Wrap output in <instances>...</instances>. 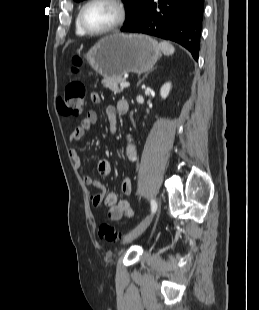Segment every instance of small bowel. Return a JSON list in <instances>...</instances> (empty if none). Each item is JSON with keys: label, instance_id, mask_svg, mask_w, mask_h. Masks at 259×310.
Segmentation results:
<instances>
[{"label": "small bowel", "instance_id": "c3829d8e", "mask_svg": "<svg viewBox=\"0 0 259 310\" xmlns=\"http://www.w3.org/2000/svg\"><path fill=\"white\" fill-rule=\"evenodd\" d=\"M91 100L93 103L100 102V96L97 92L91 93ZM127 103L124 100L118 101L116 107L107 106L105 113L110 123V129L114 133L116 131V111L121 104ZM97 120V114L95 111H89L86 116L79 122V124L72 130L69 140L72 144L80 141L85 132L95 124ZM70 158L74 162L75 167H81L80 157L76 148L72 147L69 151ZM127 155L131 162H135L137 159V152L131 137L127 141ZM97 171L101 176H108L111 172V164L106 159H101L97 163ZM83 182L86 186L94 188V193L91 195V202L95 208L106 207L108 209V216L111 220L118 221L123 217L130 218L133 216V209L127 199H119L118 194L111 191L104 194V184L95 179L92 175H84ZM121 192L125 195H130L132 192V180L130 178H124L121 182Z\"/></svg>", "mask_w": 259, "mask_h": 310}]
</instances>
